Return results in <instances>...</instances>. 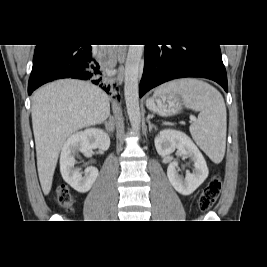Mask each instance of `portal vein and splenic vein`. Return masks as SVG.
I'll return each mask as SVG.
<instances>
[{
    "mask_svg": "<svg viewBox=\"0 0 267 267\" xmlns=\"http://www.w3.org/2000/svg\"><path fill=\"white\" fill-rule=\"evenodd\" d=\"M190 118H191V120H196V118L194 116H191Z\"/></svg>",
    "mask_w": 267,
    "mask_h": 267,
    "instance_id": "obj_1",
    "label": "portal vein and splenic vein"
}]
</instances>
